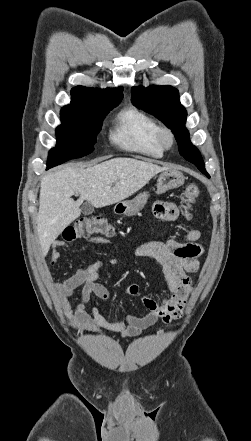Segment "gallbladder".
<instances>
[{"mask_svg":"<svg viewBox=\"0 0 251 441\" xmlns=\"http://www.w3.org/2000/svg\"><path fill=\"white\" fill-rule=\"evenodd\" d=\"M93 211H94V207L90 202L87 201V202L83 203V205L81 207V212L84 215H90L93 213Z\"/></svg>","mask_w":251,"mask_h":441,"instance_id":"gallbladder-1","label":"gallbladder"}]
</instances>
